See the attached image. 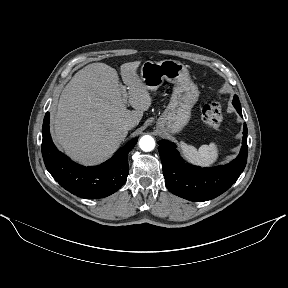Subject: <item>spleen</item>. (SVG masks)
Here are the masks:
<instances>
[{
	"label": "spleen",
	"instance_id": "3e777b00",
	"mask_svg": "<svg viewBox=\"0 0 288 288\" xmlns=\"http://www.w3.org/2000/svg\"><path fill=\"white\" fill-rule=\"evenodd\" d=\"M182 155L191 163L200 166L213 165L218 157L219 151L215 143L209 145H202L197 150L194 146L187 145L184 142L179 144Z\"/></svg>",
	"mask_w": 288,
	"mask_h": 288
}]
</instances>
